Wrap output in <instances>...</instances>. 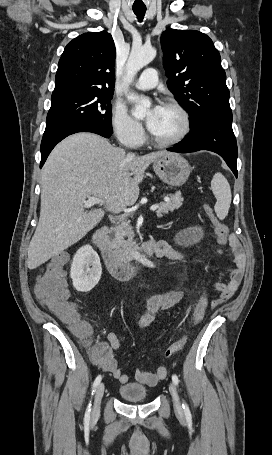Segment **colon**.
Wrapping results in <instances>:
<instances>
[{
	"mask_svg": "<svg viewBox=\"0 0 272 455\" xmlns=\"http://www.w3.org/2000/svg\"><path fill=\"white\" fill-rule=\"evenodd\" d=\"M211 219L214 231L220 245L219 253L223 254V248L227 243L228 227L218 220L210 206L205 207ZM66 263L65 255H58L52 258L42 269L36 285V295L40 301L48 307L63 322L67 323L72 331L83 338L91 335V327L83 321L77 311L76 306L69 302V290L65 280L64 266ZM208 305V294L205 292L193 312V322L197 324L202 320ZM188 340V335L173 343L165 350L164 355L170 357L183 349ZM97 354V351H96Z\"/></svg>",
	"mask_w": 272,
	"mask_h": 455,
	"instance_id": "1",
	"label": "colon"
}]
</instances>
